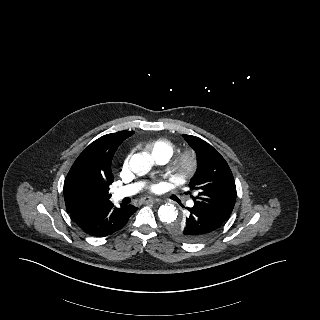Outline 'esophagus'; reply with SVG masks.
Segmentation results:
<instances>
[{
	"label": "esophagus",
	"instance_id": "esophagus-1",
	"mask_svg": "<svg viewBox=\"0 0 320 320\" xmlns=\"http://www.w3.org/2000/svg\"><path fill=\"white\" fill-rule=\"evenodd\" d=\"M158 201H159L158 199L147 197V198L142 199L141 202L144 204H149V203H154V202H158Z\"/></svg>",
	"mask_w": 320,
	"mask_h": 320
}]
</instances>
